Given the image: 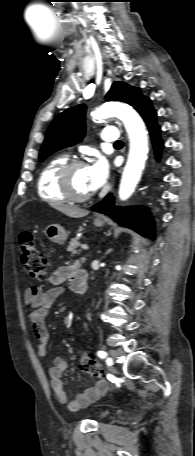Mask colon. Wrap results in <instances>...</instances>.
<instances>
[{
	"label": "colon",
	"mask_w": 195,
	"mask_h": 456,
	"mask_svg": "<svg viewBox=\"0 0 195 456\" xmlns=\"http://www.w3.org/2000/svg\"><path fill=\"white\" fill-rule=\"evenodd\" d=\"M21 263L30 275L43 281L46 277V260L38 249L34 237L31 233L25 232L20 237ZM79 368L84 374L99 378L102 375L100 364L87 352L80 354Z\"/></svg>",
	"instance_id": "colon-1"
}]
</instances>
